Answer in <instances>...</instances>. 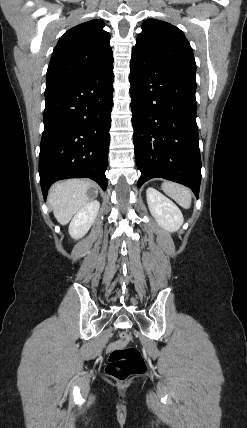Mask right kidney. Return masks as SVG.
Returning <instances> with one entry per match:
<instances>
[{"instance_id":"1","label":"right kidney","mask_w":247,"mask_h":428,"mask_svg":"<svg viewBox=\"0 0 247 428\" xmlns=\"http://www.w3.org/2000/svg\"><path fill=\"white\" fill-rule=\"evenodd\" d=\"M99 208V201L93 200L75 214L69 225V234L72 238H82L89 231L98 215Z\"/></svg>"}]
</instances>
